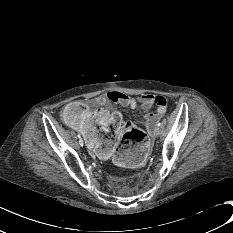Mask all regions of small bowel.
Returning <instances> with one entry per match:
<instances>
[{
  "label": "small bowel",
  "instance_id": "1",
  "mask_svg": "<svg viewBox=\"0 0 233 233\" xmlns=\"http://www.w3.org/2000/svg\"><path fill=\"white\" fill-rule=\"evenodd\" d=\"M79 103L85 109L83 117L79 123L71 126L84 136L92 153L101 159H109L115 152L123 123L118 112H109L105 107L112 103L129 108L140 106L145 110L156 106V113L147 114L144 118L145 126L150 132H152L157 121L165 114L167 108V100L161 95L141 94L133 97L118 91H110L93 100ZM101 114L107 115L106 121L101 120ZM94 123H98L104 133H108L115 128V139L103 140ZM149 156V146L145 143H138L133 149L119 150L115 155V160L121 166H135L146 161Z\"/></svg>",
  "mask_w": 233,
  "mask_h": 233
}]
</instances>
